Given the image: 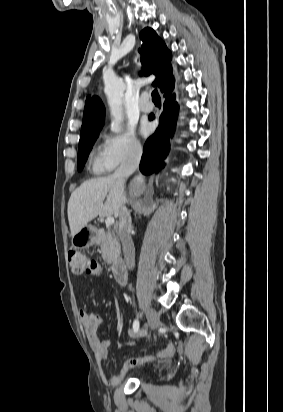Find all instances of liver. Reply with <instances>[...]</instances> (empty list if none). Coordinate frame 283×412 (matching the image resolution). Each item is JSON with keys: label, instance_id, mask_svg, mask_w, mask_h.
Listing matches in <instances>:
<instances>
[{"label": "liver", "instance_id": "liver-1", "mask_svg": "<svg viewBox=\"0 0 283 412\" xmlns=\"http://www.w3.org/2000/svg\"><path fill=\"white\" fill-rule=\"evenodd\" d=\"M123 188L117 178L109 175L87 180L73 191L67 209L71 236L98 215L117 218L124 202Z\"/></svg>", "mask_w": 283, "mask_h": 412}]
</instances>
